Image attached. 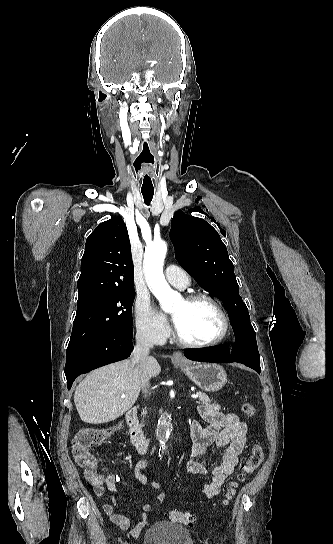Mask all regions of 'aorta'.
<instances>
[{"label":"aorta","instance_id":"obj_1","mask_svg":"<svg viewBox=\"0 0 333 544\" xmlns=\"http://www.w3.org/2000/svg\"><path fill=\"white\" fill-rule=\"evenodd\" d=\"M167 252L164 241H157L149 245L144 254L145 273L148 286L158 299L164 311H171L174 303L181 299L178 292L171 289L163 274V262ZM170 434L169 423L163 419L160 424L159 438L166 442Z\"/></svg>","mask_w":333,"mask_h":544}]
</instances>
